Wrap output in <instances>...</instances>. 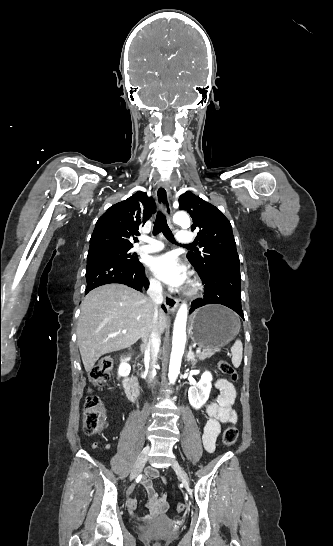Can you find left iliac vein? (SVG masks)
Here are the masks:
<instances>
[{
  "instance_id": "obj_1",
  "label": "left iliac vein",
  "mask_w": 333,
  "mask_h": 546,
  "mask_svg": "<svg viewBox=\"0 0 333 546\" xmlns=\"http://www.w3.org/2000/svg\"><path fill=\"white\" fill-rule=\"evenodd\" d=\"M172 467H173L174 471L176 472V474L180 477L182 482L184 484H188L189 483V478H188L186 472L184 471V469L180 466V464L176 460H174L172 462Z\"/></svg>"
}]
</instances>
